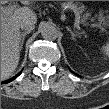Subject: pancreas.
Wrapping results in <instances>:
<instances>
[{
  "instance_id": "1",
  "label": "pancreas",
  "mask_w": 109,
  "mask_h": 109,
  "mask_svg": "<svg viewBox=\"0 0 109 109\" xmlns=\"http://www.w3.org/2000/svg\"><path fill=\"white\" fill-rule=\"evenodd\" d=\"M62 7L63 8H69L70 10H72L75 14L76 20L81 19V23H85V21L89 18L90 14L87 13L85 15L82 16V13L85 10V6L81 5V6H77L72 2H63L62 3ZM99 23L98 24H94L97 27H99L101 30L106 31V28L108 27V19L107 17H103V16H99Z\"/></svg>"
}]
</instances>
